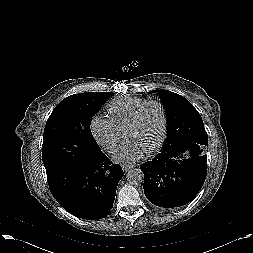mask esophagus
I'll list each match as a JSON object with an SVG mask.
<instances>
[{"label": "esophagus", "instance_id": "34e87169", "mask_svg": "<svg viewBox=\"0 0 253 253\" xmlns=\"http://www.w3.org/2000/svg\"><path fill=\"white\" fill-rule=\"evenodd\" d=\"M133 167H134V165H127V164L122 165V169H123L124 172L129 171Z\"/></svg>", "mask_w": 253, "mask_h": 253}]
</instances>
